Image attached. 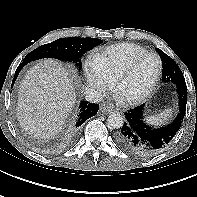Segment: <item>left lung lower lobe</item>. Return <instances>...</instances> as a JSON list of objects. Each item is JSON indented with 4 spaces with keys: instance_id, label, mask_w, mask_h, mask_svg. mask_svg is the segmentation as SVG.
<instances>
[{
    "instance_id": "1",
    "label": "left lung lower lobe",
    "mask_w": 197,
    "mask_h": 197,
    "mask_svg": "<svg viewBox=\"0 0 197 197\" xmlns=\"http://www.w3.org/2000/svg\"><path fill=\"white\" fill-rule=\"evenodd\" d=\"M176 86L179 95V112L167 126L149 125L144 115V104L126 113V120L116 135V142L123 150L138 158H147L168 146L181 127L186 112L187 86L186 84Z\"/></svg>"
}]
</instances>
